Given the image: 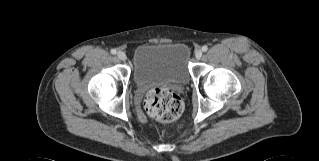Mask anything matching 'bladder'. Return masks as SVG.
Instances as JSON below:
<instances>
[{
    "label": "bladder",
    "instance_id": "31cf9c89",
    "mask_svg": "<svg viewBox=\"0 0 319 161\" xmlns=\"http://www.w3.org/2000/svg\"><path fill=\"white\" fill-rule=\"evenodd\" d=\"M134 79L139 85H187L190 51L181 43H143L134 52Z\"/></svg>",
    "mask_w": 319,
    "mask_h": 161
}]
</instances>
